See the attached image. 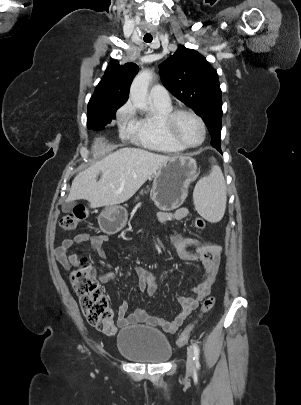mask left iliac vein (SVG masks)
Instances as JSON below:
<instances>
[{
    "mask_svg": "<svg viewBox=\"0 0 301 405\" xmlns=\"http://www.w3.org/2000/svg\"><path fill=\"white\" fill-rule=\"evenodd\" d=\"M194 368V354L191 347L187 349V362H186V370L187 374H192Z\"/></svg>",
    "mask_w": 301,
    "mask_h": 405,
    "instance_id": "left-iliac-vein-1",
    "label": "left iliac vein"
}]
</instances>
